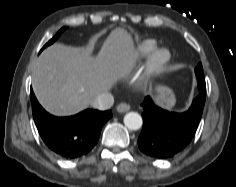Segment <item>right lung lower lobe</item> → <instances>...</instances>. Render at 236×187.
Wrapping results in <instances>:
<instances>
[{"instance_id":"right-lung-lower-lobe-1","label":"right lung lower lobe","mask_w":236,"mask_h":187,"mask_svg":"<svg viewBox=\"0 0 236 187\" xmlns=\"http://www.w3.org/2000/svg\"><path fill=\"white\" fill-rule=\"evenodd\" d=\"M32 113L38 132L45 144L64 159L87 155L97 144L102 126L112 112L87 109L70 117L47 113L30 92Z\"/></svg>"}]
</instances>
